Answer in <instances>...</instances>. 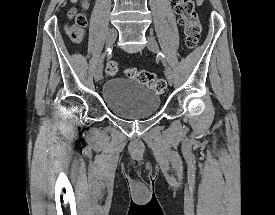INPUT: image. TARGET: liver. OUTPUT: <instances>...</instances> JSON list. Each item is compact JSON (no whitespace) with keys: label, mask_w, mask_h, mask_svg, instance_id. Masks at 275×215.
I'll return each instance as SVG.
<instances>
[{"label":"liver","mask_w":275,"mask_h":215,"mask_svg":"<svg viewBox=\"0 0 275 215\" xmlns=\"http://www.w3.org/2000/svg\"><path fill=\"white\" fill-rule=\"evenodd\" d=\"M77 0H71V2H76Z\"/></svg>","instance_id":"1"}]
</instances>
